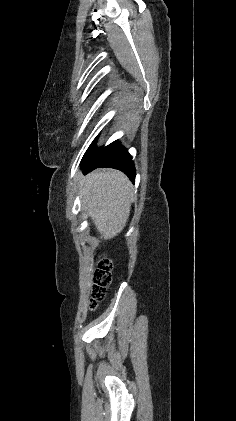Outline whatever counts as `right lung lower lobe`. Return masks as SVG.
Instances as JSON below:
<instances>
[{"instance_id": "98d812e1", "label": "right lung lower lobe", "mask_w": 236, "mask_h": 421, "mask_svg": "<svg viewBox=\"0 0 236 421\" xmlns=\"http://www.w3.org/2000/svg\"><path fill=\"white\" fill-rule=\"evenodd\" d=\"M97 138L82 158L81 167L84 168V172L87 173L99 167H111L123 171L134 182L135 167L127 150L117 140L106 147L96 149L94 145Z\"/></svg>"}]
</instances>
